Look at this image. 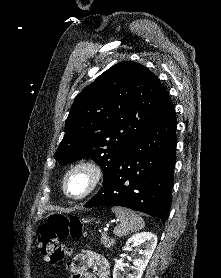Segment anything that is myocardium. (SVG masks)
<instances>
[{
	"mask_svg": "<svg viewBox=\"0 0 221 278\" xmlns=\"http://www.w3.org/2000/svg\"><path fill=\"white\" fill-rule=\"evenodd\" d=\"M77 172H84L87 175V185L80 194L71 195L67 190L68 181L69 178ZM103 179L104 170L96 160L81 159L73 163L65 172L62 181V189L68 199L73 201H81L91 195L100 186Z\"/></svg>",
	"mask_w": 221,
	"mask_h": 278,
	"instance_id": "1",
	"label": "myocardium"
}]
</instances>
